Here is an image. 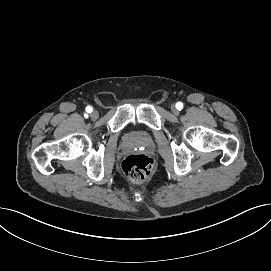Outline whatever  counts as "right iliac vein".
Listing matches in <instances>:
<instances>
[{"mask_svg":"<svg viewBox=\"0 0 271 271\" xmlns=\"http://www.w3.org/2000/svg\"><path fill=\"white\" fill-rule=\"evenodd\" d=\"M90 116H91V119L96 120L99 118V113L96 110H94L91 112Z\"/></svg>","mask_w":271,"mask_h":271,"instance_id":"63e3f726","label":"right iliac vein"}]
</instances>
